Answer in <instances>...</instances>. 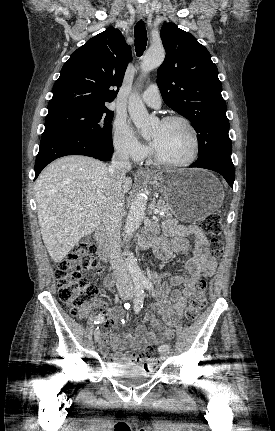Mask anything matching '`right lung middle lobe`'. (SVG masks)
<instances>
[{"mask_svg": "<svg viewBox=\"0 0 275 431\" xmlns=\"http://www.w3.org/2000/svg\"><path fill=\"white\" fill-rule=\"evenodd\" d=\"M114 113L105 105L61 109L49 112L44 134L68 132L112 143L111 122Z\"/></svg>", "mask_w": 275, "mask_h": 431, "instance_id": "dd1d6c3e", "label": "right lung middle lobe"}]
</instances>
